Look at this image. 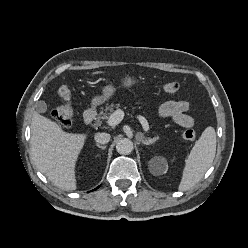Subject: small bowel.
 <instances>
[{"mask_svg": "<svg viewBox=\"0 0 248 248\" xmlns=\"http://www.w3.org/2000/svg\"><path fill=\"white\" fill-rule=\"evenodd\" d=\"M188 110L189 103L187 101H167L159 107L158 114L161 117L172 119L181 127L190 128L194 125V120L187 114Z\"/></svg>", "mask_w": 248, "mask_h": 248, "instance_id": "small-bowel-1", "label": "small bowel"}]
</instances>
